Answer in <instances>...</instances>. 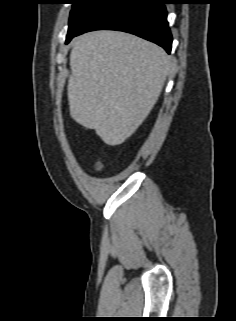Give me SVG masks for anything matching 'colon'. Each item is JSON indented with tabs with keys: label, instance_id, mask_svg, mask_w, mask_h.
<instances>
[{
	"label": "colon",
	"instance_id": "5ec220e1",
	"mask_svg": "<svg viewBox=\"0 0 236 321\" xmlns=\"http://www.w3.org/2000/svg\"><path fill=\"white\" fill-rule=\"evenodd\" d=\"M95 167H96L97 170L101 169V167H102L101 161H98V162L96 163Z\"/></svg>",
	"mask_w": 236,
	"mask_h": 321
}]
</instances>
